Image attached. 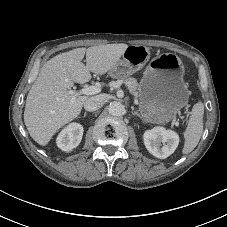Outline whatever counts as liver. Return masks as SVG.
<instances>
[{
	"mask_svg": "<svg viewBox=\"0 0 227 227\" xmlns=\"http://www.w3.org/2000/svg\"><path fill=\"white\" fill-rule=\"evenodd\" d=\"M127 44H106L89 48H76L61 53L41 68L26 99L24 123L30 136L39 145L49 143L63 126L78 117L86 95H73L68 90L75 83H86L91 74L104 75L119 61ZM86 55V65L82 59Z\"/></svg>",
	"mask_w": 227,
	"mask_h": 227,
	"instance_id": "liver-1",
	"label": "liver"
}]
</instances>
